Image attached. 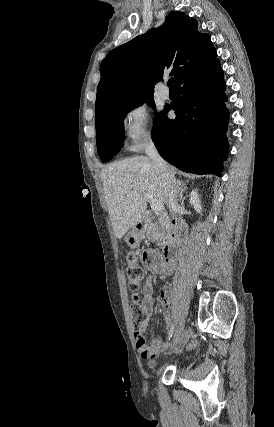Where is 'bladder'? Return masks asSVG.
<instances>
[{"label": "bladder", "instance_id": "bladder-1", "mask_svg": "<svg viewBox=\"0 0 274 427\" xmlns=\"http://www.w3.org/2000/svg\"><path fill=\"white\" fill-rule=\"evenodd\" d=\"M159 361L157 359L151 358L148 360V367L154 368L158 365Z\"/></svg>", "mask_w": 274, "mask_h": 427}]
</instances>
